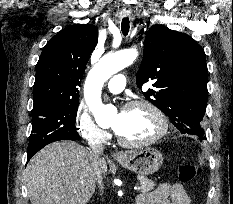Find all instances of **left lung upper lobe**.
<instances>
[{"label":"left lung upper lobe","mask_w":233,"mask_h":204,"mask_svg":"<svg viewBox=\"0 0 233 204\" xmlns=\"http://www.w3.org/2000/svg\"><path fill=\"white\" fill-rule=\"evenodd\" d=\"M208 70L203 48L189 35L153 25L144 42V56L136 81L143 95L163 111L182 133L204 140L201 126L207 103Z\"/></svg>","instance_id":"obj_1"}]
</instances>
